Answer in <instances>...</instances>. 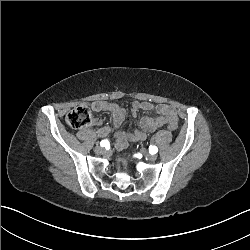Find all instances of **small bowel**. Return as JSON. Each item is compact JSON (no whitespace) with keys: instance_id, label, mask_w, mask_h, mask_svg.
<instances>
[{"instance_id":"1","label":"small bowel","mask_w":250,"mask_h":250,"mask_svg":"<svg viewBox=\"0 0 250 250\" xmlns=\"http://www.w3.org/2000/svg\"><path fill=\"white\" fill-rule=\"evenodd\" d=\"M86 106L96 112H108L111 114L112 126H103L102 120L99 118L93 120V125L97 127V134L102 139L114 133L116 139L115 147L117 149H124L128 141L145 139L148 133L160 127L167 126L169 129L174 130L178 125L177 113L169 104L133 103L131 107L133 116H136L140 109L146 111L152 110L156 113V116L141 117L139 127L129 132L120 130V126L125 119V110L122 107L106 101H94L88 103Z\"/></svg>"}]
</instances>
